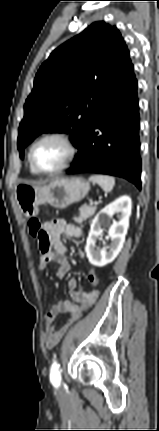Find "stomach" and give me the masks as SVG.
Listing matches in <instances>:
<instances>
[{"mask_svg":"<svg viewBox=\"0 0 159 431\" xmlns=\"http://www.w3.org/2000/svg\"><path fill=\"white\" fill-rule=\"evenodd\" d=\"M89 190V183L81 178H58L45 186L20 183L15 188V199L22 214L33 217L38 214L40 205L63 209L80 202Z\"/></svg>","mask_w":159,"mask_h":431,"instance_id":"stomach-1","label":"stomach"}]
</instances>
